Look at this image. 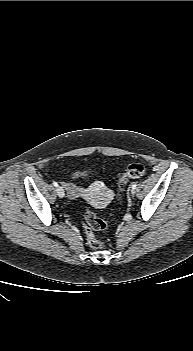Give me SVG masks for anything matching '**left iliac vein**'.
Returning <instances> with one entry per match:
<instances>
[{"label": "left iliac vein", "instance_id": "left-iliac-vein-1", "mask_svg": "<svg viewBox=\"0 0 193 351\" xmlns=\"http://www.w3.org/2000/svg\"><path fill=\"white\" fill-rule=\"evenodd\" d=\"M135 192H136V190H135V189H131V194H132V195H134V194H135Z\"/></svg>", "mask_w": 193, "mask_h": 351}]
</instances>
